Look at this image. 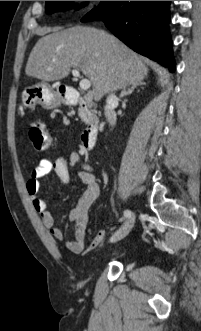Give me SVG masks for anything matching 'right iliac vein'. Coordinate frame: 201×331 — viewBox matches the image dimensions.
<instances>
[{"label":"right iliac vein","mask_w":201,"mask_h":331,"mask_svg":"<svg viewBox=\"0 0 201 331\" xmlns=\"http://www.w3.org/2000/svg\"><path fill=\"white\" fill-rule=\"evenodd\" d=\"M134 222L135 216L133 213H131V216L125 222V224L111 237L110 242H117L128 235L134 225Z\"/></svg>","instance_id":"right-iliac-vein-1"}]
</instances>
